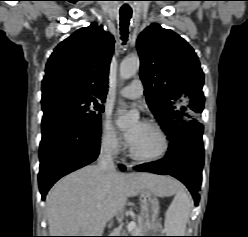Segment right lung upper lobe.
<instances>
[{"label":"right lung upper lobe","instance_id":"right-lung-upper-lobe-1","mask_svg":"<svg viewBox=\"0 0 248 237\" xmlns=\"http://www.w3.org/2000/svg\"><path fill=\"white\" fill-rule=\"evenodd\" d=\"M113 43L96 23L62 41L47 62L41 102L61 96L104 100Z\"/></svg>","mask_w":248,"mask_h":237}]
</instances>
